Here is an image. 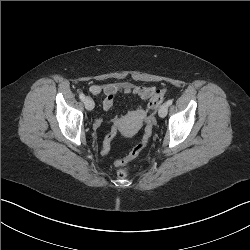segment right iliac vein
Returning a JSON list of instances; mask_svg holds the SVG:
<instances>
[{
	"label": "right iliac vein",
	"instance_id": "1",
	"mask_svg": "<svg viewBox=\"0 0 250 250\" xmlns=\"http://www.w3.org/2000/svg\"><path fill=\"white\" fill-rule=\"evenodd\" d=\"M83 102L87 110H92L94 108V101L90 97H86Z\"/></svg>",
	"mask_w": 250,
	"mask_h": 250
}]
</instances>
